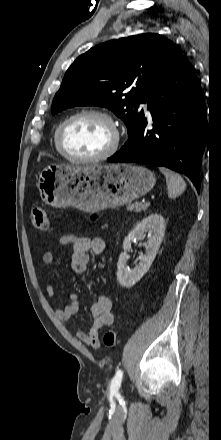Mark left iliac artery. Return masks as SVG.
<instances>
[{
	"label": "left iliac artery",
	"mask_w": 221,
	"mask_h": 440,
	"mask_svg": "<svg viewBox=\"0 0 221 440\" xmlns=\"http://www.w3.org/2000/svg\"><path fill=\"white\" fill-rule=\"evenodd\" d=\"M123 377V371L118 369L110 384V392L116 394L119 391Z\"/></svg>",
	"instance_id": "left-iliac-artery-1"
}]
</instances>
